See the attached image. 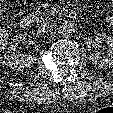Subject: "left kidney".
<instances>
[{"label":"left kidney","instance_id":"5707ae66","mask_svg":"<svg viewBox=\"0 0 113 113\" xmlns=\"http://www.w3.org/2000/svg\"><path fill=\"white\" fill-rule=\"evenodd\" d=\"M95 40L97 42H104L108 45V50L106 51V54L103 55V57L100 56L99 52L92 53L90 55V60L94 65H97L99 67H108L113 66V35L106 34V33H99Z\"/></svg>","mask_w":113,"mask_h":113}]
</instances>
